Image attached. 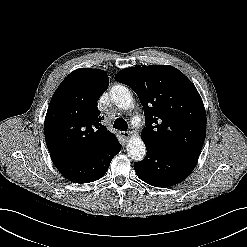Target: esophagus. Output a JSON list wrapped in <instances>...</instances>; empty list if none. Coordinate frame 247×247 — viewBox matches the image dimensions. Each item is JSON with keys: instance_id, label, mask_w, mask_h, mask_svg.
<instances>
[{"instance_id": "34e87169", "label": "esophagus", "mask_w": 247, "mask_h": 247, "mask_svg": "<svg viewBox=\"0 0 247 247\" xmlns=\"http://www.w3.org/2000/svg\"><path fill=\"white\" fill-rule=\"evenodd\" d=\"M131 134H132L131 131H126L121 133L122 137L125 139H129L131 137Z\"/></svg>"}]
</instances>
